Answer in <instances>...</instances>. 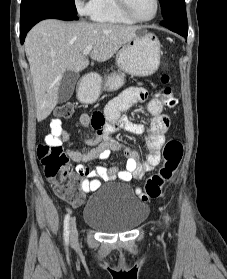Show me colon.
Wrapping results in <instances>:
<instances>
[{
  "instance_id": "obj_1",
  "label": "colon",
  "mask_w": 227,
  "mask_h": 279,
  "mask_svg": "<svg viewBox=\"0 0 227 279\" xmlns=\"http://www.w3.org/2000/svg\"><path fill=\"white\" fill-rule=\"evenodd\" d=\"M160 82L162 84L160 97L164 104L170 108L177 106L178 99L170 86L169 75L162 74ZM74 111V105L67 104L60 108L59 116L61 119H68L73 115ZM101 118L100 114H94L95 121ZM53 122L54 129L47 136L46 143L40 144L37 147V158L56 193L70 203H77L80 200L77 180L70 177L65 180L57 178L60 169L69 163L70 157L61 147V120L56 119ZM182 157V142L176 138L168 140L163 150V164L161 168L146 180L144 187L138 193L142 201H149L162 196L164 184L172 178Z\"/></svg>"
}]
</instances>
